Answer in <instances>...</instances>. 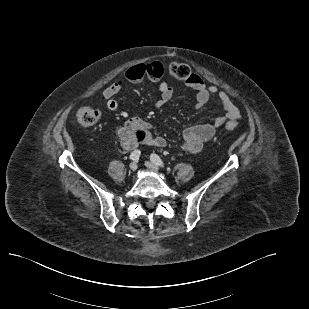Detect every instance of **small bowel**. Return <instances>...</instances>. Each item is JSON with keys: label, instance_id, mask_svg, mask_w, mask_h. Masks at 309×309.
<instances>
[{"label": "small bowel", "instance_id": "small-bowel-1", "mask_svg": "<svg viewBox=\"0 0 309 309\" xmlns=\"http://www.w3.org/2000/svg\"><path fill=\"white\" fill-rule=\"evenodd\" d=\"M163 66L159 62L137 64L129 67L122 79L110 84L103 90V97L106 100V107L110 111L118 109V102L115 96L121 91L125 82L139 83L143 80L159 82L158 90L160 93V104L170 101L175 90L169 84L161 81ZM185 85L196 93V107L202 108L210 98H216L225 110V116L216 117L212 123L198 124L186 128L183 132L182 148L190 153H198L204 144L210 141L216 129L225 122H236L240 117L239 108L233 103L231 98L224 91L219 90L215 85H206L201 77L193 75ZM141 134V138H138ZM118 136L121 145L126 150H132L139 144H146L155 147H165L166 140L161 136H153L149 125L138 117L129 118L118 129Z\"/></svg>", "mask_w": 309, "mask_h": 309}]
</instances>
